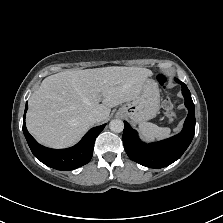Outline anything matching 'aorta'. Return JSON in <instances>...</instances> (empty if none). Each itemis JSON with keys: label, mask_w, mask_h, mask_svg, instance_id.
I'll return each instance as SVG.
<instances>
[{"label": "aorta", "mask_w": 223, "mask_h": 223, "mask_svg": "<svg viewBox=\"0 0 223 223\" xmlns=\"http://www.w3.org/2000/svg\"><path fill=\"white\" fill-rule=\"evenodd\" d=\"M109 128L111 131H113L115 133H120L124 129V123L122 120L114 119L110 122Z\"/></svg>", "instance_id": "1"}]
</instances>
